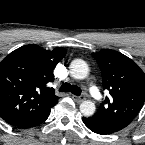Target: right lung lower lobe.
Returning <instances> with one entry per match:
<instances>
[{"instance_id": "1", "label": "right lung lower lobe", "mask_w": 145, "mask_h": 145, "mask_svg": "<svg viewBox=\"0 0 145 145\" xmlns=\"http://www.w3.org/2000/svg\"><path fill=\"white\" fill-rule=\"evenodd\" d=\"M49 115H50V109L43 115H40V116L32 118V119L21 121L13 126L18 129L32 128V127L38 126L41 123H43L48 118Z\"/></svg>"}]
</instances>
